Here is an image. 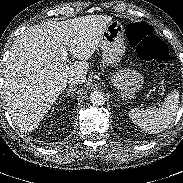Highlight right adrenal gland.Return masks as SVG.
Wrapping results in <instances>:
<instances>
[{"label": "right adrenal gland", "instance_id": "obj_1", "mask_svg": "<svg viewBox=\"0 0 183 183\" xmlns=\"http://www.w3.org/2000/svg\"><path fill=\"white\" fill-rule=\"evenodd\" d=\"M76 91V87L75 86H69V89L67 91L66 96H73L74 92Z\"/></svg>", "mask_w": 183, "mask_h": 183}]
</instances>
